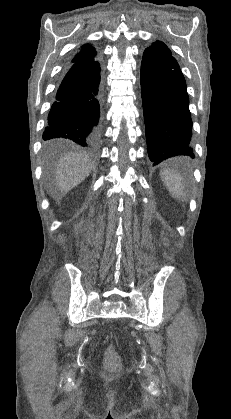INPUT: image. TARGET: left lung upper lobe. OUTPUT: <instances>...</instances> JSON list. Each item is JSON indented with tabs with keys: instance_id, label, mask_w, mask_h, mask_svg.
Instances as JSON below:
<instances>
[{
	"instance_id": "obj_1",
	"label": "left lung upper lobe",
	"mask_w": 231,
	"mask_h": 419,
	"mask_svg": "<svg viewBox=\"0 0 231 419\" xmlns=\"http://www.w3.org/2000/svg\"><path fill=\"white\" fill-rule=\"evenodd\" d=\"M145 51L157 52V53H162V54H167V55H171L172 56L171 51L161 41H157V42L153 43L151 46H149L148 48H146Z\"/></svg>"
}]
</instances>
